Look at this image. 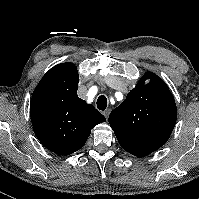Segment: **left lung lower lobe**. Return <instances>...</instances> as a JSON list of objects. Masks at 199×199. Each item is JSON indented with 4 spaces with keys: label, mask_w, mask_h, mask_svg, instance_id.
I'll list each match as a JSON object with an SVG mask.
<instances>
[{
    "label": "left lung lower lobe",
    "mask_w": 199,
    "mask_h": 199,
    "mask_svg": "<svg viewBox=\"0 0 199 199\" xmlns=\"http://www.w3.org/2000/svg\"><path fill=\"white\" fill-rule=\"evenodd\" d=\"M114 133L121 147L138 157L146 156L162 146L157 142L139 138L121 130H114Z\"/></svg>",
    "instance_id": "0a47b994"
}]
</instances>
